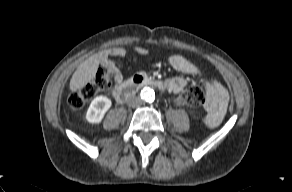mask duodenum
I'll return each mask as SVG.
<instances>
[{"label": "duodenum", "mask_w": 292, "mask_h": 192, "mask_svg": "<svg viewBox=\"0 0 292 192\" xmlns=\"http://www.w3.org/2000/svg\"><path fill=\"white\" fill-rule=\"evenodd\" d=\"M144 86H151L158 89L164 88V84L161 81L151 79L145 75L137 74L133 78L123 82L120 86L116 94L117 101L120 103L124 102Z\"/></svg>", "instance_id": "410a0bca"}]
</instances>
